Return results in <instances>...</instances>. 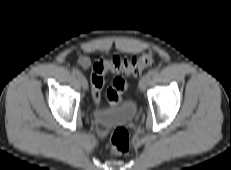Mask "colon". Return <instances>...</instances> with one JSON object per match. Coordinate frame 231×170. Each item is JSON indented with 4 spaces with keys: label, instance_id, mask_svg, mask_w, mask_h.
<instances>
[{
    "label": "colon",
    "instance_id": "colon-1",
    "mask_svg": "<svg viewBox=\"0 0 231 170\" xmlns=\"http://www.w3.org/2000/svg\"><path fill=\"white\" fill-rule=\"evenodd\" d=\"M154 53L149 51L139 57L121 58L115 56L111 59H99L94 62L91 71L92 97L95 103H99L101 92L105 82V74L112 72L116 76L108 89L106 96L111 105H117L123 92L127 89L128 75H139L146 67L152 64ZM130 137L128 131L119 127L116 128L110 138V149L115 154H124L129 150Z\"/></svg>",
    "mask_w": 231,
    "mask_h": 170
}]
</instances>
